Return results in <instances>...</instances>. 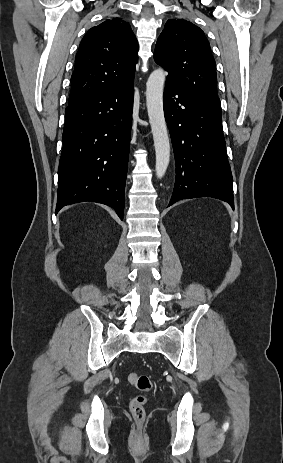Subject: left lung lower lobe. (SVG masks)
Wrapping results in <instances>:
<instances>
[{"mask_svg": "<svg viewBox=\"0 0 283 463\" xmlns=\"http://www.w3.org/2000/svg\"><path fill=\"white\" fill-rule=\"evenodd\" d=\"M163 105L176 162V181L168 206L182 199L213 197L234 209L221 109L168 77Z\"/></svg>", "mask_w": 283, "mask_h": 463, "instance_id": "1", "label": "left lung lower lobe"}]
</instances>
